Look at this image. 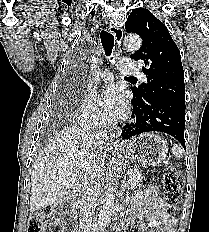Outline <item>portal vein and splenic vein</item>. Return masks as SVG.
<instances>
[{
	"mask_svg": "<svg viewBox=\"0 0 209 232\" xmlns=\"http://www.w3.org/2000/svg\"><path fill=\"white\" fill-rule=\"evenodd\" d=\"M130 174H131L130 172L127 173L128 176H129Z\"/></svg>",
	"mask_w": 209,
	"mask_h": 232,
	"instance_id": "obj_1",
	"label": "portal vein and splenic vein"
}]
</instances>
